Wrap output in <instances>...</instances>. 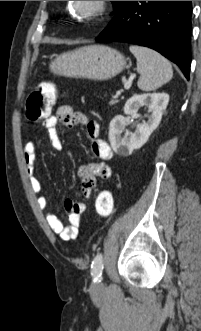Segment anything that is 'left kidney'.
<instances>
[{"label": "left kidney", "mask_w": 201, "mask_h": 331, "mask_svg": "<svg viewBox=\"0 0 201 331\" xmlns=\"http://www.w3.org/2000/svg\"><path fill=\"white\" fill-rule=\"evenodd\" d=\"M168 102L169 95L166 93L135 94L128 99L124 106L126 115L137 116L138 110L146 106L150 116L146 122L137 125L134 133L125 130L128 120L124 116H116L109 125V141L114 152L128 156L135 149L141 148L158 127ZM123 131L125 134L122 137Z\"/></svg>", "instance_id": "obj_1"}]
</instances>
